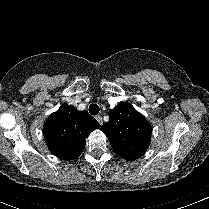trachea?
I'll return each mask as SVG.
<instances>
[{"instance_id":"obj_1","label":"trachea","mask_w":209,"mask_h":209,"mask_svg":"<svg viewBox=\"0 0 209 209\" xmlns=\"http://www.w3.org/2000/svg\"><path fill=\"white\" fill-rule=\"evenodd\" d=\"M100 109L97 104H91L89 106V112L91 115H97L99 113Z\"/></svg>"}]
</instances>
